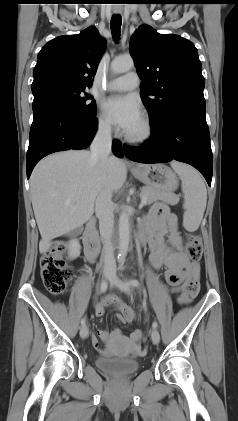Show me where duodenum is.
Here are the masks:
<instances>
[{
    "label": "duodenum",
    "mask_w": 238,
    "mask_h": 421,
    "mask_svg": "<svg viewBox=\"0 0 238 421\" xmlns=\"http://www.w3.org/2000/svg\"><path fill=\"white\" fill-rule=\"evenodd\" d=\"M142 238V242H143ZM83 243L85 248L86 257L93 261L99 254L100 251V243L97 235V231L95 229V225L93 222H89L85 228L84 235H83Z\"/></svg>",
    "instance_id": "duodenum-1"
}]
</instances>
